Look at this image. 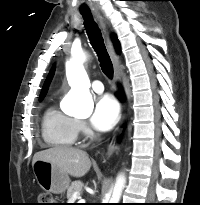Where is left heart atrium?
Returning <instances> with one entry per match:
<instances>
[{"label": "left heart atrium", "mask_w": 200, "mask_h": 205, "mask_svg": "<svg viewBox=\"0 0 200 205\" xmlns=\"http://www.w3.org/2000/svg\"><path fill=\"white\" fill-rule=\"evenodd\" d=\"M119 118L120 107L118 102L111 95H104L95 104L91 123L100 131H107L118 122Z\"/></svg>", "instance_id": "obj_1"}]
</instances>
